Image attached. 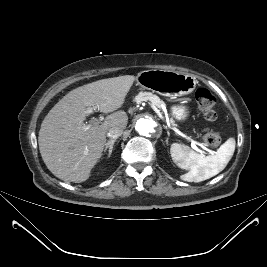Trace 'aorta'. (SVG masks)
Wrapping results in <instances>:
<instances>
[{
  "label": "aorta",
  "mask_w": 267,
  "mask_h": 267,
  "mask_svg": "<svg viewBox=\"0 0 267 267\" xmlns=\"http://www.w3.org/2000/svg\"><path fill=\"white\" fill-rule=\"evenodd\" d=\"M136 130L143 136H150L156 130V124L152 119L140 118L137 120L135 125Z\"/></svg>",
  "instance_id": "1"
}]
</instances>
